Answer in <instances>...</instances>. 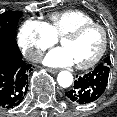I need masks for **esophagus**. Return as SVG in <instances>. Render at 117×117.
<instances>
[{"label":"esophagus","instance_id":"obj_1","mask_svg":"<svg viewBox=\"0 0 117 117\" xmlns=\"http://www.w3.org/2000/svg\"><path fill=\"white\" fill-rule=\"evenodd\" d=\"M47 71H48L49 73H51V74H56V73H58V70H56V69H47Z\"/></svg>","mask_w":117,"mask_h":117}]
</instances>
